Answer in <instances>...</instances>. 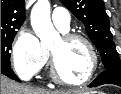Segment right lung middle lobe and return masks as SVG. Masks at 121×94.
Segmentation results:
<instances>
[{
	"mask_svg": "<svg viewBox=\"0 0 121 94\" xmlns=\"http://www.w3.org/2000/svg\"><path fill=\"white\" fill-rule=\"evenodd\" d=\"M16 33L17 31L1 33V67L11 68L9 51Z\"/></svg>",
	"mask_w": 121,
	"mask_h": 94,
	"instance_id": "obj_1",
	"label": "right lung middle lobe"
}]
</instances>
